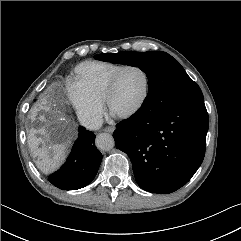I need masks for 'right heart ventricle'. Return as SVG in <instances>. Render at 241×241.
Returning a JSON list of instances; mask_svg holds the SVG:
<instances>
[{"instance_id":"1","label":"right heart ventricle","mask_w":241,"mask_h":241,"mask_svg":"<svg viewBox=\"0 0 241 241\" xmlns=\"http://www.w3.org/2000/svg\"><path fill=\"white\" fill-rule=\"evenodd\" d=\"M123 64L86 62L76 68V82L94 99L103 102L107 85Z\"/></svg>"}]
</instances>
